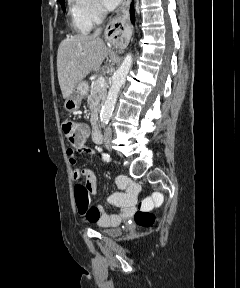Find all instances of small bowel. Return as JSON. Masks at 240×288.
Instances as JSON below:
<instances>
[{
  "label": "small bowel",
  "instance_id": "1",
  "mask_svg": "<svg viewBox=\"0 0 240 288\" xmlns=\"http://www.w3.org/2000/svg\"><path fill=\"white\" fill-rule=\"evenodd\" d=\"M84 128L86 131L85 140L74 144L73 148L67 150V156L71 164L76 162V152H84L88 155L94 154L93 149L84 145L88 137V130L86 127ZM72 175L75 180L85 177V183L79 182L75 185L76 206L85 222L97 223L101 226H116L123 218L129 217L133 213L137 198V188L128 179L118 178L116 180L118 187L124 191L113 193L109 198V203L120 208V212L109 215L101 205L90 206V196L97 193V178L94 171L75 168Z\"/></svg>",
  "mask_w": 240,
  "mask_h": 288
}]
</instances>
